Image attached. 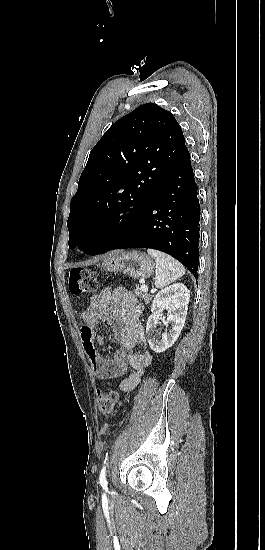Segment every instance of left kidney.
<instances>
[{
  "mask_svg": "<svg viewBox=\"0 0 265 550\" xmlns=\"http://www.w3.org/2000/svg\"><path fill=\"white\" fill-rule=\"evenodd\" d=\"M189 299L190 291L182 283L170 285L155 296L151 307L152 314L148 317L146 325L148 343L154 352L166 351L178 339L186 320ZM163 309L168 310L167 323L172 325V329L164 332L160 339L157 325Z\"/></svg>",
  "mask_w": 265,
  "mask_h": 550,
  "instance_id": "obj_1",
  "label": "left kidney"
}]
</instances>
